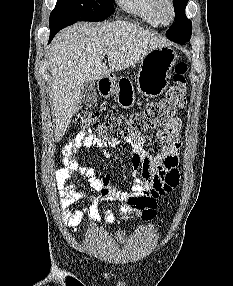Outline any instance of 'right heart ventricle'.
Listing matches in <instances>:
<instances>
[{"mask_svg":"<svg viewBox=\"0 0 233 286\" xmlns=\"http://www.w3.org/2000/svg\"><path fill=\"white\" fill-rule=\"evenodd\" d=\"M118 4L124 11L150 26L160 25L154 12V0H118Z\"/></svg>","mask_w":233,"mask_h":286,"instance_id":"obj_1","label":"right heart ventricle"}]
</instances>
